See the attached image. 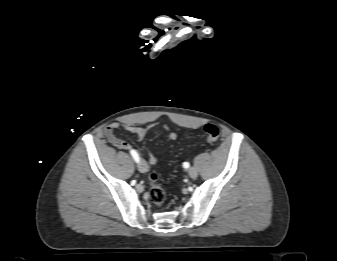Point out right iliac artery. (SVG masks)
Here are the masks:
<instances>
[{"instance_id":"obj_1","label":"right iliac artery","mask_w":337,"mask_h":261,"mask_svg":"<svg viewBox=\"0 0 337 261\" xmlns=\"http://www.w3.org/2000/svg\"><path fill=\"white\" fill-rule=\"evenodd\" d=\"M130 154H131V156L133 157V159H134L136 162H139L140 158H139V155H138V153H137L136 151L131 150V151H130Z\"/></svg>"}]
</instances>
